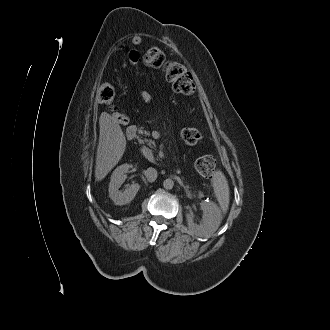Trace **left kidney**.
Wrapping results in <instances>:
<instances>
[{
  "label": "left kidney",
  "mask_w": 330,
  "mask_h": 330,
  "mask_svg": "<svg viewBox=\"0 0 330 330\" xmlns=\"http://www.w3.org/2000/svg\"><path fill=\"white\" fill-rule=\"evenodd\" d=\"M203 211V219L201 224H195L192 213H187L188 228L192 234L200 237H208L213 234L219 227L222 214L220 208L213 202L203 201L201 204Z\"/></svg>",
  "instance_id": "obj_1"
}]
</instances>
